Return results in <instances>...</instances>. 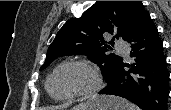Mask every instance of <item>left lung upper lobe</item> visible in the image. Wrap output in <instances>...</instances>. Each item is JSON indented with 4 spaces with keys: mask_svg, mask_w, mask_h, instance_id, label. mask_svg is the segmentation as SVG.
<instances>
[{
    "mask_svg": "<svg viewBox=\"0 0 171 110\" xmlns=\"http://www.w3.org/2000/svg\"><path fill=\"white\" fill-rule=\"evenodd\" d=\"M148 16L141 1H97L80 18L63 25L49 46L40 70L59 56L84 54L100 67L108 80L122 61L121 57L108 54L113 50L114 38L122 37L129 42ZM105 33H115L109 42L111 46L104 40Z\"/></svg>",
    "mask_w": 171,
    "mask_h": 110,
    "instance_id": "obj_1",
    "label": "left lung upper lobe"
}]
</instances>
